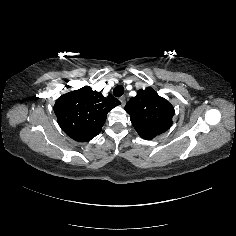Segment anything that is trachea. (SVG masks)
Instances as JSON below:
<instances>
[{"label": "trachea", "mask_w": 236, "mask_h": 236, "mask_svg": "<svg viewBox=\"0 0 236 236\" xmlns=\"http://www.w3.org/2000/svg\"><path fill=\"white\" fill-rule=\"evenodd\" d=\"M125 92V88L122 85H117L114 89H113V95L115 97H120L124 94Z\"/></svg>", "instance_id": "3493384b"}]
</instances>
